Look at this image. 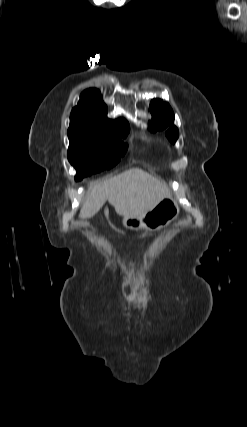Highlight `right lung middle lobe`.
I'll list each match as a JSON object with an SVG mask.
<instances>
[{
    "instance_id": "1",
    "label": "right lung middle lobe",
    "mask_w": 247,
    "mask_h": 427,
    "mask_svg": "<svg viewBox=\"0 0 247 427\" xmlns=\"http://www.w3.org/2000/svg\"><path fill=\"white\" fill-rule=\"evenodd\" d=\"M129 126L105 129L70 122L68 159L77 170L76 180L114 167L126 150L122 141Z\"/></svg>"
}]
</instances>
